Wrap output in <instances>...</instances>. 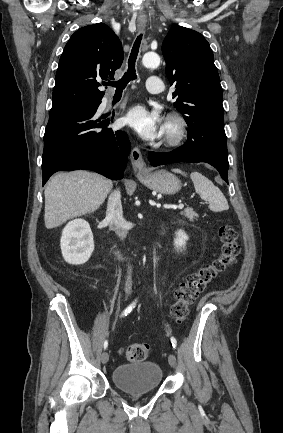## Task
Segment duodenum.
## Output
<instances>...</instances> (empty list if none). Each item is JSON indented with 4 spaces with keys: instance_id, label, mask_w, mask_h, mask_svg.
<instances>
[{
    "instance_id": "duodenum-1",
    "label": "duodenum",
    "mask_w": 283,
    "mask_h": 433,
    "mask_svg": "<svg viewBox=\"0 0 283 433\" xmlns=\"http://www.w3.org/2000/svg\"><path fill=\"white\" fill-rule=\"evenodd\" d=\"M108 250L117 258V259H123L125 256L124 254L116 249L111 243L108 244Z\"/></svg>"
}]
</instances>
